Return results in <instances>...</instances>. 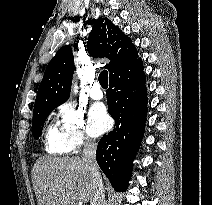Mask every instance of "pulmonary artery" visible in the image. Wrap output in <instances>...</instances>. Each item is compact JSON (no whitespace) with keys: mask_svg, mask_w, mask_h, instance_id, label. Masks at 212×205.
<instances>
[{"mask_svg":"<svg viewBox=\"0 0 212 205\" xmlns=\"http://www.w3.org/2000/svg\"><path fill=\"white\" fill-rule=\"evenodd\" d=\"M90 96L92 99H95V100L102 99L104 96L103 91L100 87V84L97 81H95L91 86Z\"/></svg>","mask_w":212,"mask_h":205,"instance_id":"1","label":"pulmonary artery"}]
</instances>
